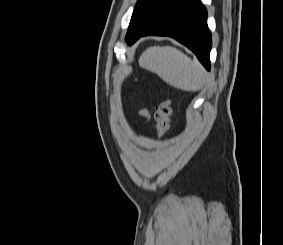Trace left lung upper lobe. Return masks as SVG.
I'll list each match as a JSON object with an SVG mask.
<instances>
[{
	"mask_svg": "<svg viewBox=\"0 0 283 245\" xmlns=\"http://www.w3.org/2000/svg\"><path fill=\"white\" fill-rule=\"evenodd\" d=\"M174 0H138L133 11L125 40L134 39L149 28L173 3Z\"/></svg>",
	"mask_w": 283,
	"mask_h": 245,
	"instance_id": "5c2ea615",
	"label": "left lung upper lobe"
}]
</instances>
